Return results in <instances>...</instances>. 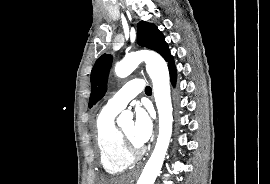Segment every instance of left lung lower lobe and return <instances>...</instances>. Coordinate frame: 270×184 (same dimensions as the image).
Segmentation results:
<instances>
[{
  "mask_svg": "<svg viewBox=\"0 0 270 184\" xmlns=\"http://www.w3.org/2000/svg\"><path fill=\"white\" fill-rule=\"evenodd\" d=\"M167 62H168V68H169L171 83L173 85H175L176 79H177V70H176V66H175L173 57L170 56L168 58Z\"/></svg>",
  "mask_w": 270,
  "mask_h": 184,
  "instance_id": "left-lung-lower-lobe-1",
  "label": "left lung lower lobe"
}]
</instances>
